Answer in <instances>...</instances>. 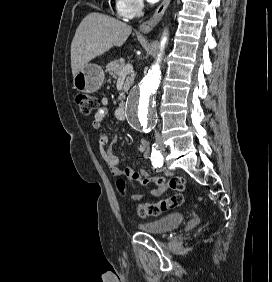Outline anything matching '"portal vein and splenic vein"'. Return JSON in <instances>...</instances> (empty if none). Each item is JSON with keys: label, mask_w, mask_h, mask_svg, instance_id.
Listing matches in <instances>:
<instances>
[{"label": "portal vein and splenic vein", "mask_w": 272, "mask_h": 282, "mask_svg": "<svg viewBox=\"0 0 272 282\" xmlns=\"http://www.w3.org/2000/svg\"><path fill=\"white\" fill-rule=\"evenodd\" d=\"M133 71V66L131 64H127L121 71L120 75L127 74Z\"/></svg>", "instance_id": "portal-vein-and-splenic-vein-1"}]
</instances>
